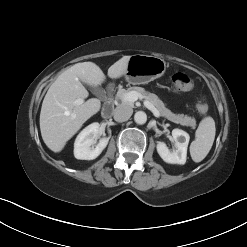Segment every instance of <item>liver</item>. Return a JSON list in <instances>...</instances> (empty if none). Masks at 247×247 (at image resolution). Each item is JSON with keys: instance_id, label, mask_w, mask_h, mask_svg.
<instances>
[{"instance_id": "obj_1", "label": "liver", "mask_w": 247, "mask_h": 247, "mask_svg": "<svg viewBox=\"0 0 247 247\" xmlns=\"http://www.w3.org/2000/svg\"><path fill=\"white\" fill-rule=\"evenodd\" d=\"M130 56H123L108 69V77L117 79L126 72ZM106 77L92 62L73 65L63 72L48 89L40 112V130L44 143L53 152H60L67 141L101 107L97 98L76 105L77 99H85L89 93L83 86L101 85Z\"/></svg>"}]
</instances>
